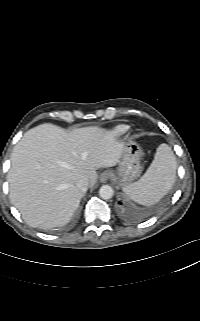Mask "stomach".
I'll use <instances>...</instances> for the list:
<instances>
[{
    "mask_svg": "<svg viewBox=\"0 0 200 321\" xmlns=\"http://www.w3.org/2000/svg\"><path fill=\"white\" fill-rule=\"evenodd\" d=\"M142 156L143 151L136 142L129 141L124 145V150L118 167L112 171V174L119 186H127L141 175Z\"/></svg>",
    "mask_w": 200,
    "mask_h": 321,
    "instance_id": "stomach-1",
    "label": "stomach"
}]
</instances>
